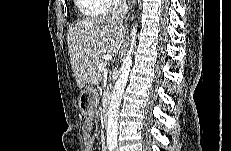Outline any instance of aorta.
Instances as JSON below:
<instances>
[{
    "label": "aorta",
    "instance_id": "obj_1",
    "mask_svg": "<svg viewBox=\"0 0 231 151\" xmlns=\"http://www.w3.org/2000/svg\"><path fill=\"white\" fill-rule=\"evenodd\" d=\"M136 33L137 25L133 26L131 31V45L127 51L126 57L124 58L121 68L120 76L115 83L110 108L108 111L107 121V142L108 144L115 145L117 143V131H118V111L121 103L122 94L128 81L129 72L132 66V57L134 53V47L136 46Z\"/></svg>",
    "mask_w": 231,
    "mask_h": 151
}]
</instances>
